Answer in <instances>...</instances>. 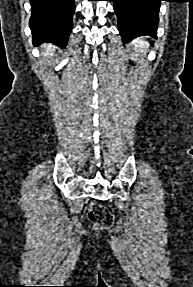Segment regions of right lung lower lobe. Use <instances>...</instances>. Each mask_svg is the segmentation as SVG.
I'll list each match as a JSON object with an SVG mask.
<instances>
[{"label": "right lung lower lobe", "mask_w": 193, "mask_h": 287, "mask_svg": "<svg viewBox=\"0 0 193 287\" xmlns=\"http://www.w3.org/2000/svg\"><path fill=\"white\" fill-rule=\"evenodd\" d=\"M33 43L53 42L64 48L72 30L74 0H30Z\"/></svg>", "instance_id": "1"}]
</instances>
